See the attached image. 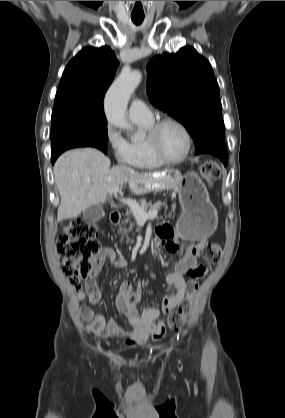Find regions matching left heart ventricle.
Listing matches in <instances>:
<instances>
[{"label": "left heart ventricle", "mask_w": 285, "mask_h": 418, "mask_svg": "<svg viewBox=\"0 0 285 418\" xmlns=\"http://www.w3.org/2000/svg\"><path fill=\"white\" fill-rule=\"evenodd\" d=\"M158 144L166 157L177 159L184 154L187 142L180 128L168 124L161 129Z\"/></svg>", "instance_id": "obj_1"}]
</instances>
